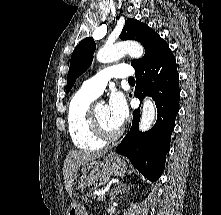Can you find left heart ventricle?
Masks as SVG:
<instances>
[{
  "label": "left heart ventricle",
  "mask_w": 221,
  "mask_h": 215,
  "mask_svg": "<svg viewBox=\"0 0 221 215\" xmlns=\"http://www.w3.org/2000/svg\"><path fill=\"white\" fill-rule=\"evenodd\" d=\"M96 113L98 116L99 121L104 126L105 129L108 131H115L118 129V127L114 126L109 119V112L108 107L104 103H100L96 107Z\"/></svg>",
  "instance_id": "1"
}]
</instances>
